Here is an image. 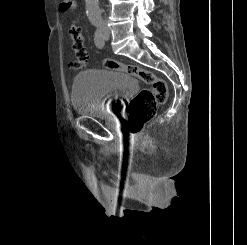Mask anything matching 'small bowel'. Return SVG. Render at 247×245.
I'll return each mask as SVG.
<instances>
[{
	"label": "small bowel",
	"instance_id": "small-bowel-1",
	"mask_svg": "<svg viewBox=\"0 0 247 245\" xmlns=\"http://www.w3.org/2000/svg\"><path fill=\"white\" fill-rule=\"evenodd\" d=\"M70 30H75L77 32H79L82 35L81 29L75 25L71 26Z\"/></svg>",
	"mask_w": 247,
	"mask_h": 245
}]
</instances>
